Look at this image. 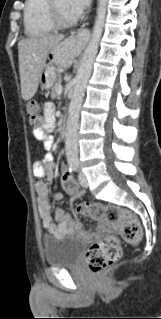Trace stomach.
I'll return each instance as SVG.
<instances>
[{"mask_svg": "<svg viewBox=\"0 0 161 319\" xmlns=\"http://www.w3.org/2000/svg\"><path fill=\"white\" fill-rule=\"evenodd\" d=\"M76 50V43L67 39L51 48L48 53L49 64L43 69L39 77L42 89H49L56 81V69L66 67L71 62V56Z\"/></svg>", "mask_w": 161, "mask_h": 319, "instance_id": "1", "label": "stomach"}]
</instances>
